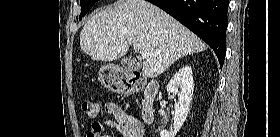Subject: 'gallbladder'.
I'll return each instance as SVG.
<instances>
[{
  "instance_id": "obj_1",
  "label": "gallbladder",
  "mask_w": 280,
  "mask_h": 137,
  "mask_svg": "<svg viewBox=\"0 0 280 137\" xmlns=\"http://www.w3.org/2000/svg\"><path fill=\"white\" fill-rule=\"evenodd\" d=\"M121 65L122 67H124V69L126 71H135L140 69V63H138L136 60L132 59V58H124L121 61Z\"/></svg>"
}]
</instances>
